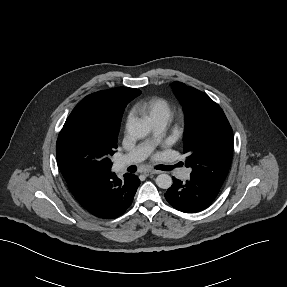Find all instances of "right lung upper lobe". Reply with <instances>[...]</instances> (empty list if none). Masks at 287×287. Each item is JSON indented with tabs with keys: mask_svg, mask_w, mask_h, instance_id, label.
Here are the masks:
<instances>
[{
	"mask_svg": "<svg viewBox=\"0 0 287 287\" xmlns=\"http://www.w3.org/2000/svg\"><path fill=\"white\" fill-rule=\"evenodd\" d=\"M140 93L141 91L138 89L117 87L88 95L80 103L102 111L107 120L108 131L116 133L119 132L121 117L127 103ZM63 176L68 185L81 182V180H73L65 175Z\"/></svg>",
	"mask_w": 287,
	"mask_h": 287,
	"instance_id": "cb5924a9",
	"label": "right lung upper lobe"
}]
</instances>
